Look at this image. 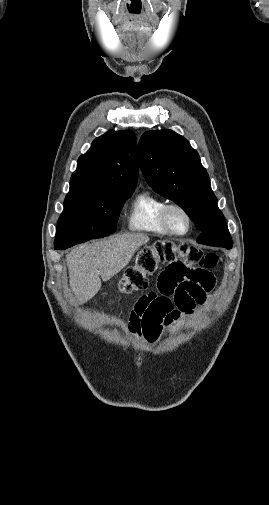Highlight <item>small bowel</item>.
<instances>
[{
	"instance_id": "c3829d8e",
	"label": "small bowel",
	"mask_w": 269,
	"mask_h": 505,
	"mask_svg": "<svg viewBox=\"0 0 269 505\" xmlns=\"http://www.w3.org/2000/svg\"><path fill=\"white\" fill-rule=\"evenodd\" d=\"M168 265L157 274L158 283L149 290V298H140L129 317L130 332L152 342L180 314L193 315L196 305L204 303L206 293L216 286L211 268H190L192 262L181 259H171Z\"/></svg>"
}]
</instances>
